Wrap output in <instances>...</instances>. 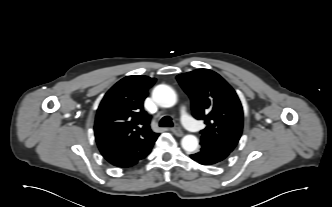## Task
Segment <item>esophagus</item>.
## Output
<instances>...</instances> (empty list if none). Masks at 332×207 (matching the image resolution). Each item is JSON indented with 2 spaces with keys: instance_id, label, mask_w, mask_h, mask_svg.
<instances>
[{
  "instance_id": "esophagus-1",
  "label": "esophagus",
  "mask_w": 332,
  "mask_h": 207,
  "mask_svg": "<svg viewBox=\"0 0 332 207\" xmlns=\"http://www.w3.org/2000/svg\"><path fill=\"white\" fill-rule=\"evenodd\" d=\"M171 131L178 137L183 136V131L179 127H174L171 129Z\"/></svg>"
}]
</instances>
